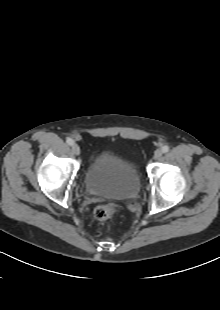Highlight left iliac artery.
Listing matches in <instances>:
<instances>
[{
  "mask_svg": "<svg viewBox=\"0 0 220 310\" xmlns=\"http://www.w3.org/2000/svg\"><path fill=\"white\" fill-rule=\"evenodd\" d=\"M169 151V147L167 145L162 147V152L167 153Z\"/></svg>",
  "mask_w": 220,
  "mask_h": 310,
  "instance_id": "obj_1",
  "label": "left iliac artery"
}]
</instances>
